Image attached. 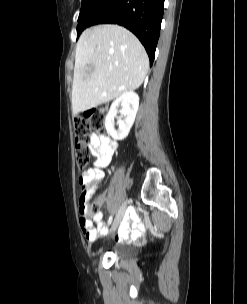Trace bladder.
Listing matches in <instances>:
<instances>
[{
	"instance_id": "obj_1",
	"label": "bladder",
	"mask_w": 247,
	"mask_h": 304,
	"mask_svg": "<svg viewBox=\"0 0 247 304\" xmlns=\"http://www.w3.org/2000/svg\"><path fill=\"white\" fill-rule=\"evenodd\" d=\"M135 251L132 247L126 245H117L114 248V254L117 258L128 259L134 255Z\"/></svg>"
}]
</instances>
